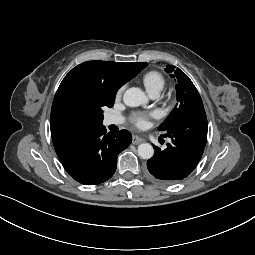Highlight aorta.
<instances>
[{"label": "aorta", "instance_id": "1", "mask_svg": "<svg viewBox=\"0 0 255 255\" xmlns=\"http://www.w3.org/2000/svg\"><path fill=\"white\" fill-rule=\"evenodd\" d=\"M123 102L129 107H138L145 105L148 102V98L145 93L139 88L132 87L125 91L123 95ZM138 155L142 159H150L154 155L153 146L149 143H142L138 146Z\"/></svg>", "mask_w": 255, "mask_h": 255}]
</instances>
